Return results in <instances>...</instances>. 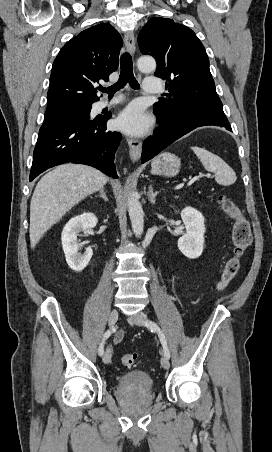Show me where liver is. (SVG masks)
I'll return each instance as SVG.
<instances>
[{"mask_svg": "<svg viewBox=\"0 0 272 452\" xmlns=\"http://www.w3.org/2000/svg\"><path fill=\"white\" fill-rule=\"evenodd\" d=\"M108 178L82 164H63L45 174L30 203V243L34 248L44 234L72 207L100 190Z\"/></svg>", "mask_w": 272, "mask_h": 452, "instance_id": "6515ba94", "label": "liver"}]
</instances>
